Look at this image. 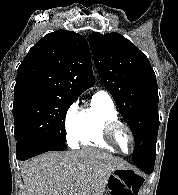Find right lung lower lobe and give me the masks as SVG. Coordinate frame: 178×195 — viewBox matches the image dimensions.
Listing matches in <instances>:
<instances>
[{
    "instance_id": "right-lung-lower-lobe-1",
    "label": "right lung lower lobe",
    "mask_w": 178,
    "mask_h": 195,
    "mask_svg": "<svg viewBox=\"0 0 178 195\" xmlns=\"http://www.w3.org/2000/svg\"><path fill=\"white\" fill-rule=\"evenodd\" d=\"M16 148V158L17 160H27L31 157L39 155L47 151H63L67 149L65 143L61 142H24L17 143Z\"/></svg>"
}]
</instances>
